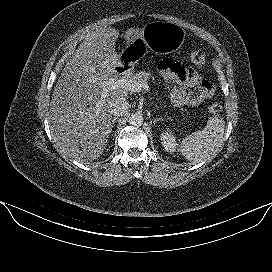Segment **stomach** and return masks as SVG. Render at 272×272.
I'll return each instance as SVG.
<instances>
[{"mask_svg": "<svg viewBox=\"0 0 272 272\" xmlns=\"http://www.w3.org/2000/svg\"><path fill=\"white\" fill-rule=\"evenodd\" d=\"M184 39V29L173 22H149L142 35L122 52V65L134 66L148 50L159 54L174 52L182 46Z\"/></svg>", "mask_w": 272, "mask_h": 272, "instance_id": "obj_1", "label": "stomach"}]
</instances>
